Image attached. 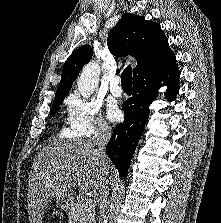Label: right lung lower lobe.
Instances as JSON below:
<instances>
[{"instance_id": "1", "label": "right lung lower lobe", "mask_w": 221, "mask_h": 223, "mask_svg": "<svg viewBox=\"0 0 221 223\" xmlns=\"http://www.w3.org/2000/svg\"><path fill=\"white\" fill-rule=\"evenodd\" d=\"M179 77L178 66L174 65L160 74L133 80V96L123 105L124 122L115 127L106 146V152L120 176H127L133 153L149 117V105L157 97L159 86L163 84L168 87L166 98L172 101L179 91Z\"/></svg>"}]
</instances>
